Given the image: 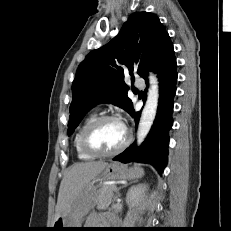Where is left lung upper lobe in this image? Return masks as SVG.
Masks as SVG:
<instances>
[{"label": "left lung upper lobe", "instance_id": "5c2ea615", "mask_svg": "<svg viewBox=\"0 0 231 231\" xmlns=\"http://www.w3.org/2000/svg\"><path fill=\"white\" fill-rule=\"evenodd\" d=\"M168 36L155 14L135 12L116 37L91 51L80 63L72 85L68 134L98 103H113L132 114L124 76L136 72L143 77Z\"/></svg>", "mask_w": 231, "mask_h": 231}]
</instances>
